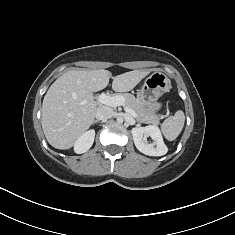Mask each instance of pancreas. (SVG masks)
Listing matches in <instances>:
<instances>
[{
    "mask_svg": "<svg viewBox=\"0 0 235 235\" xmlns=\"http://www.w3.org/2000/svg\"><path fill=\"white\" fill-rule=\"evenodd\" d=\"M117 95H120L124 98V101H125L124 107H128L135 111L136 120L140 123L156 125L160 122V119L163 117V116L155 114L154 112L144 107L132 94L124 93V94H117Z\"/></svg>",
    "mask_w": 235,
    "mask_h": 235,
    "instance_id": "pancreas-1",
    "label": "pancreas"
}]
</instances>
